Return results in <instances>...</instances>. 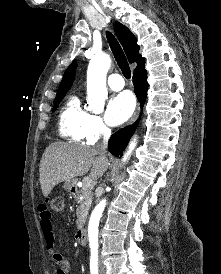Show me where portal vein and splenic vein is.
<instances>
[{"mask_svg":"<svg viewBox=\"0 0 221 274\" xmlns=\"http://www.w3.org/2000/svg\"><path fill=\"white\" fill-rule=\"evenodd\" d=\"M83 185L87 188H90L94 185V182L90 178H85V179H83Z\"/></svg>","mask_w":221,"mask_h":274,"instance_id":"obj_1","label":"portal vein and splenic vein"}]
</instances>
